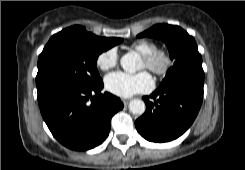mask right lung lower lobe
Wrapping results in <instances>:
<instances>
[{"mask_svg":"<svg viewBox=\"0 0 245 170\" xmlns=\"http://www.w3.org/2000/svg\"><path fill=\"white\" fill-rule=\"evenodd\" d=\"M103 81L84 89H64L38 99L44 121L65 147L85 151L101 144L109 134L112 116L123 108L121 100L105 92Z\"/></svg>","mask_w":245,"mask_h":170,"instance_id":"right-lung-lower-lobe-1","label":"right lung lower lobe"}]
</instances>
